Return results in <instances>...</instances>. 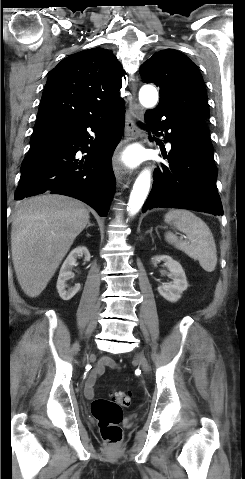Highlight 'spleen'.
Instances as JSON below:
<instances>
[{
	"mask_svg": "<svg viewBox=\"0 0 245 479\" xmlns=\"http://www.w3.org/2000/svg\"><path fill=\"white\" fill-rule=\"evenodd\" d=\"M165 221L172 222L175 228L187 235L188 241L180 240L175 234L168 232L165 239L175 248L183 251L190 258L198 260L207 272L215 270L217 250L214 237L207 224L188 210H170L165 214Z\"/></svg>",
	"mask_w": 245,
	"mask_h": 479,
	"instance_id": "3e777b00",
	"label": "spleen"
}]
</instances>
